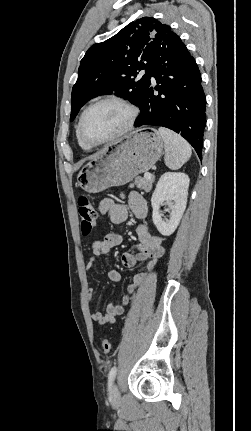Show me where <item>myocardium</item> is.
Segmentation results:
<instances>
[{
    "label": "myocardium",
    "mask_w": 251,
    "mask_h": 431,
    "mask_svg": "<svg viewBox=\"0 0 251 431\" xmlns=\"http://www.w3.org/2000/svg\"><path fill=\"white\" fill-rule=\"evenodd\" d=\"M103 103H116V104L124 107L128 111V119H127L126 124L118 132H116L112 136H110V137H108L102 141H99V142H91L84 135V131H83L84 120H85V117L89 113L90 110H92L96 106L103 104ZM137 117H138L137 107L134 104H132L131 102H129L128 100H126L122 97H119V96H114V95L105 96V97H102V98L96 100L92 104H90L82 112L80 119H79V122H78V135H79L80 140L86 146H88L90 148L98 147V146L113 142V141L123 137L124 135H126L133 128Z\"/></svg>",
    "instance_id": "obj_1"
}]
</instances>
